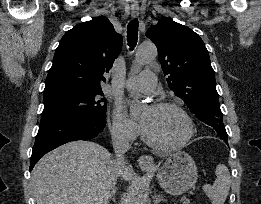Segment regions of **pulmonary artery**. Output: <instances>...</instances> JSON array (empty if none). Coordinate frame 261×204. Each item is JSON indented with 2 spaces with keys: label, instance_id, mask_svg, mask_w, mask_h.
Wrapping results in <instances>:
<instances>
[{
  "label": "pulmonary artery",
  "instance_id": "pulmonary-artery-1",
  "mask_svg": "<svg viewBox=\"0 0 261 204\" xmlns=\"http://www.w3.org/2000/svg\"><path fill=\"white\" fill-rule=\"evenodd\" d=\"M157 79L152 71H143L125 82V87L130 90L151 92L156 88Z\"/></svg>",
  "mask_w": 261,
  "mask_h": 204
}]
</instances>
